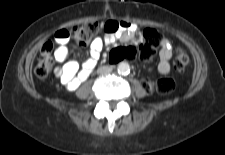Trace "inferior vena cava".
I'll return each mask as SVG.
<instances>
[{
    "label": "inferior vena cava",
    "instance_id": "obj_1",
    "mask_svg": "<svg viewBox=\"0 0 225 155\" xmlns=\"http://www.w3.org/2000/svg\"><path fill=\"white\" fill-rule=\"evenodd\" d=\"M110 72H112V67H110V66H102L98 69V73H100V74H107Z\"/></svg>",
    "mask_w": 225,
    "mask_h": 155
}]
</instances>
